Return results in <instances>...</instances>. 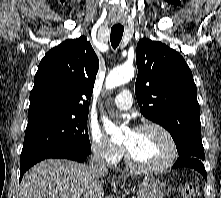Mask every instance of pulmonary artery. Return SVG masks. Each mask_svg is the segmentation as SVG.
<instances>
[{
	"label": "pulmonary artery",
	"instance_id": "obj_1",
	"mask_svg": "<svg viewBox=\"0 0 221 198\" xmlns=\"http://www.w3.org/2000/svg\"><path fill=\"white\" fill-rule=\"evenodd\" d=\"M132 105V95L129 90L121 91L113 101V106L119 110H128Z\"/></svg>",
	"mask_w": 221,
	"mask_h": 198
}]
</instances>
